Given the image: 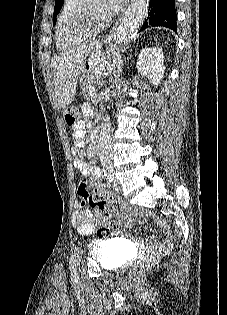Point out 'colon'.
<instances>
[{
  "label": "colon",
  "instance_id": "1",
  "mask_svg": "<svg viewBox=\"0 0 227 315\" xmlns=\"http://www.w3.org/2000/svg\"><path fill=\"white\" fill-rule=\"evenodd\" d=\"M65 122L69 127H73L77 124L78 110L74 107L67 108L64 113ZM77 195L80 201L76 204L77 210H82L85 206H90L96 210V214L99 217H103L99 220L101 228L98 230L99 237L108 238L114 235L118 229L119 224L115 221H109L108 215L110 214L109 202L111 195L104 191L95 190L89 192L86 182H79L77 186ZM153 265V260L150 257L140 259L134 266V274L141 275L148 271Z\"/></svg>",
  "mask_w": 227,
  "mask_h": 315
}]
</instances>
